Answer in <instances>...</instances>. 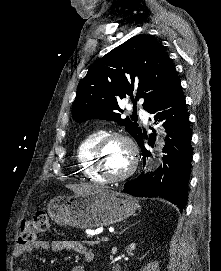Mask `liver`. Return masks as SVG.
Masks as SVG:
<instances>
[{
    "label": "liver",
    "instance_id": "liver-1",
    "mask_svg": "<svg viewBox=\"0 0 221 271\" xmlns=\"http://www.w3.org/2000/svg\"><path fill=\"white\" fill-rule=\"evenodd\" d=\"M80 193H84V191H80Z\"/></svg>",
    "mask_w": 221,
    "mask_h": 271
}]
</instances>
